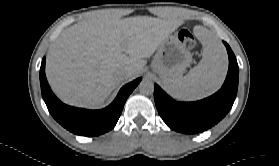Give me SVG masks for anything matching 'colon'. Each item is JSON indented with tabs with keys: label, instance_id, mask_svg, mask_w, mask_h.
<instances>
[{
	"label": "colon",
	"instance_id": "1",
	"mask_svg": "<svg viewBox=\"0 0 279 166\" xmlns=\"http://www.w3.org/2000/svg\"><path fill=\"white\" fill-rule=\"evenodd\" d=\"M178 39L182 46L186 49H192L196 44L195 36L191 29H182L178 33Z\"/></svg>",
	"mask_w": 279,
	"mask_h": 166
}]
</instances>
